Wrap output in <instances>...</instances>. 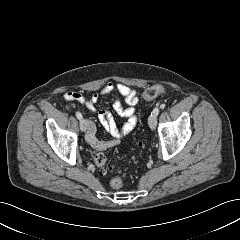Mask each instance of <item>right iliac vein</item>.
I'll return each mask as SVG.
<instances>
[{"label": "right iliac vein", "instance_id": "1", "mask_svg": "<svg viewBox=\"0 0 240 240\" xmlns=\"http://www.w3.org/2000/svg\"><path fill=\"white\" fill-rule=\"evenodd\" d=\"M80 129L83 132L87 130V121L85 119L80 120Z\"/></svg>", "mask_w": 240, "mask_h": 240}]
</instances>
